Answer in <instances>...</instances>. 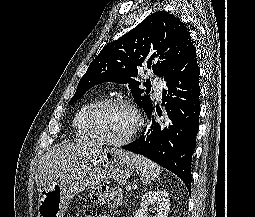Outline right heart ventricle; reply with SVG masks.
Returning a JSON list of instances; mask_svg holds the SVG:
<instances>
[{"instance_id":"1","label":"right heart ventricle","mask_w":255,"mask_h":217,"mask_svg":"<svg viewBox=\"0 0 255 217\" xmlns=\"http://www.w3.org/2000/svg\"><path fill=\"white\" fill-rule=\"evenodd\" d=\"M103 100V97H97L92 99L85 104H83L76 114L74 115L72 125L76 131V135L83 139V140H96L97 138L91 132L88 122H87V115L90 109L97 104L99 101Z\"/></svg>"}]
</instances>
